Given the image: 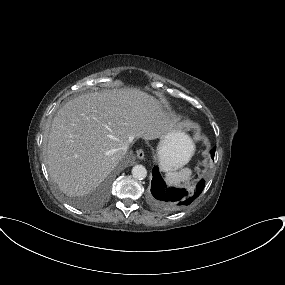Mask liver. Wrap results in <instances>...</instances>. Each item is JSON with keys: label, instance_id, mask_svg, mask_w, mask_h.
<instances>
[{"label": "liver", "instance_id": "liver-1", "mask_svg": "<svg viewBox=\"0 0 285 285\" xmlns=\"http://www.w3.org/2000/svg\"><path fill=\"white\" fill-rule=\"evenodd\" d=\"M168 120L161 102L137 88L76 97L52 121L46 149L49 175L69 196L88 194L123 158V145L137 138L163 137ZM173 137L174 133L165 136L164 157L183 155Z\"/></svg>", "mask_w": 285, "mask_h": 285}]
</instances>
